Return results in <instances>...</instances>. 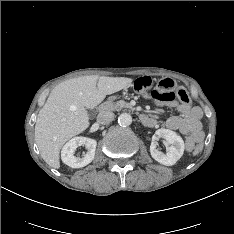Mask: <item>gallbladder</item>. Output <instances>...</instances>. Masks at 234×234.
<instances>
[{"mask_svg": "<svg viewBox=\"0 0 234 234\" xmlns=\"http://www.w3.org/2000/svg\"><path fill=\"white\" fill-rule=\"evenodd\" d=\"M94 112H95V110H94V109H88V114H89V115H93V114H94Z\"/></svg>", "mask_w": 234, "mask_h": 234, "instance_id": "bac80fb5", "label": "gallbladder"}]
</instances>
